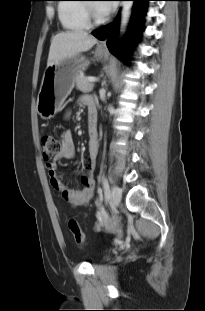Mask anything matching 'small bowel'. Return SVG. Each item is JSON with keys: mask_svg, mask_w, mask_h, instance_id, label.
I'll return each mask as SVG.
<instances>
[{"mask_svg": "<svg viewBox=\"0 0 205 311\" xmlns=\"http://www.w3.org/2000/svg\"><path fill=\"white\" fill-rule=\"evenodd\" d=\"M83 103L88 108L87 132L89 137L88 158L86 173L81 176L82 189L74 190L68 187L63 178L58 174L57 163L61 160H70L75 156V145L70 130L62 132L61 148L53 159L46 163V169L51 177V185L62 196V198L72 206H82L87 204L94 193L95 181L92 172L98 156V130H97V109L92 98H83Z\"/></svg>", "mask_w": 205, "mask_h": 311, "instance_id": "1", "label": "small bowel"}]
</instances>
